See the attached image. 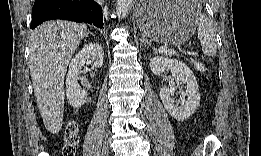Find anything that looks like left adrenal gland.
<instances>
[{"label": "left adrenal gland", "instance_id": "1", "mask_svg": "<svg viewBox=\"0 0 261 156\" xmlns=\"http://www.w3.org/2000/svg\"><path fill=\"white\" fill-rule=\"evenodd\" d=\"M142 44H147V45H149V42H148V40L145 38V36H143V37L140 39V45H142Z\"/></svg>", "mask_w": 261, "mask_h": 156}]
</instances>
